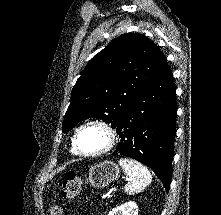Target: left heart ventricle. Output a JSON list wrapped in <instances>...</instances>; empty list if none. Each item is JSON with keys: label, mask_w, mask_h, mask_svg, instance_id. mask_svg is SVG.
Instances as JSON below:
<instances>
[{"label": "left heart ventricle", "mask_w": 221, "mask_h": 215, "mask_svg": "<svg viewBox=\"0 0 221 215\" xmlns=\"http://www.w3.org/2000/svg\"><path fill=\"white\" fill-rule=\"evenodd\" d=\"M105 132L96 126L83 129L78 136V147L84 152H96L106 144Z\"/></svg>", "instance_id": "1"}]
</instances>
